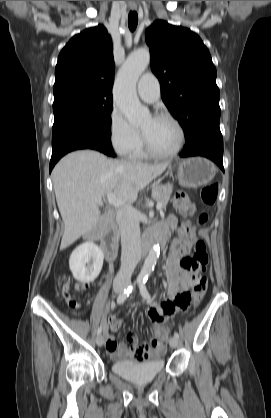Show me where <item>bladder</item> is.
I'll return each mask as SVG.
<instances>
[{"label":"bladder","instance_id":"obj_1","mask_svg":"<svg viewBox=\"0 0 271 418\" xmlns=\"http://www.w3.org/2000/svg\"><path fill=\"white\" fill-rule=\"evenodd\" d=\"M165 367L163 357L157 356L145 361L117 360L112 371L135 384H146L162 373Z\"/></svg>","mask_w":271,"mask_h":418}]
</instances>
